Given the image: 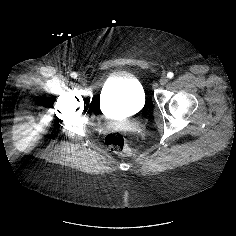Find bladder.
<instances>
[{
    "mask_svg": "<svg viewBox=\"0 0 236 236\" xmlns=\"http://www.w3.org/2000/svg\"><path fill=\"white\" fill-rule=\"evenodd\" d=\"M99 104L106 114L113 113L116 106L126 114L139 112L145 104L144 88L134 75L115 74L101 88Z\"/></svg>",
    "mask_w": 236,
    "mask_h": 236,
    "instance_id": "1",
    "label": "bladder"
}]
</instances>
